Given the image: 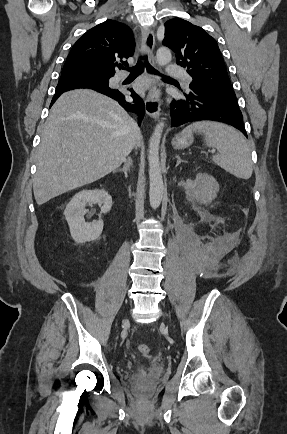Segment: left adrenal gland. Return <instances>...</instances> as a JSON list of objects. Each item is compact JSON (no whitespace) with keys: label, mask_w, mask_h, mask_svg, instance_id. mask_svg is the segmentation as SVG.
Instances as JSON below:
<instances>
[{"label":"left adrenal gland","mask_w":287,"mask_h":434,"mask_svg":"<svg viewBox=\"0 0 287 434\" xmlns=\"http://www.w3.org/2000/svg\"><path fill=\"white\" fill-rule=\"evenodd\" d=\"M175 158L177 159L176 167H177L181 162H185L184 160H182V159L180 158L179 155H176Z\"/></svg>","instance_id":"left-adrenal-gland-1"}]
</instances>
